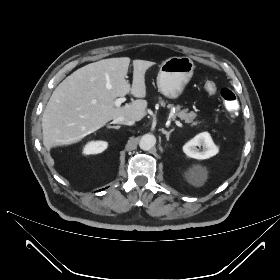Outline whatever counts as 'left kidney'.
Masks as SVG:
<instances>
[{
	"instance_id": "5707ae66",
	"label": "left kidney",
	"mask_w": 280,
	"mask_h": 280,
	"mask_svg": "<svg viewBox=\"0 0 280 280\" xmlns=\"http://www.w3.org/2000/svg\"><path fill=\"white\" fill-rule=\"evenodd\" d=\"M197 146H202V150H199ZM183 151L191 158L204 160L216 155L218 153V147L212 141L210 134L208 132H203L188 141L183 146ZM203 178L204 172L199 169L191 175V181L193 183H200L203 181Z\"/></svg>"
}]
</instances>
